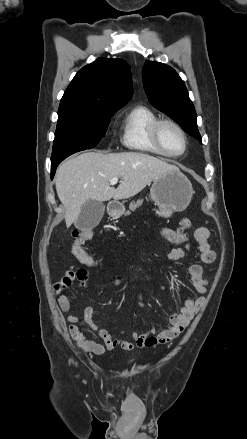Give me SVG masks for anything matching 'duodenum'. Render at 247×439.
<instances>
[{"mask_svg":"<svg viewBox=\"0 0 247 439\" xmlns=\"http://www.w3.org/2000/svg\"><path fill=\"white\" fill-rule=\"evenodd\" d=\"M117 210V207L116 206H110V212L111 213H113V212H115Z\"/></svg>","mask_w":247,"mask_h":439,"instance_id":"obj_1","label":"duodenum"}]
</instances>
